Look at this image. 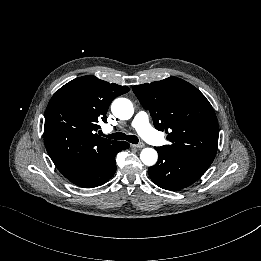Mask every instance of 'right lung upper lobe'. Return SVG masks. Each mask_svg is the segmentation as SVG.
<instances>
[{
	"label": "right lung upper lobe",
	"mask_w": 261,
	"mask_h": 261,
	"mask_svg": "<svg viewBox=\"0 0 261 261\" xmlns=\"http://www.w3.org/2000/svg\"><path fill=\"white\" fill-rule=\"evenodd\" d=\"M127 86L110 84L95 76L76 78L51 98L45 113V147L58 170L65 176L98 160L123 142L97 134L99 122L113 99L128 92Z\"/></svg>",
	"instance_id": "obj_1"
}]
</instances>
